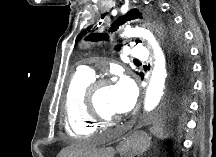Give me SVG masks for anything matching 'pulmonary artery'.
Here are the masks:
<instances>
[{"label":"pulmonary artery","mask_w":216,"mask_h":157,"mask_svg":"<svg viewBox=\"0 0 216 157\" xmlns=\"http://www.w3.org/2000/svg\"><path fill=\"white\" fill-rule=\"evenodd\" d=\"M130 56L137 60L145 61L148 59V51L143 46L137 45L131 49ZM79 73L92 78L94 76V70L86 65L79 68Z\"/></svg>","instance_id":"e3ab8cb5"}]
</instances>
